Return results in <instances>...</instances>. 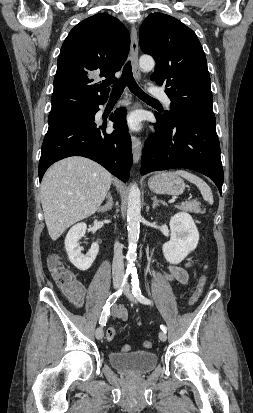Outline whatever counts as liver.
Returning <instances> with one entry per match:
<instances>
[{
	"label": "liver",
	"mask_w": 253,
	"mask_h": 413,
	"mask_svg": "<svg viewBox=\"0 0 253 413\" xmlns=\"http://www.w3.org/2000/svg\"><path fill=\"white\" fill-rule=\"evenodd\" d=\"M112 175L80 156L65 158L45 173L40 196L49 236L57 240L71 225L93 215L111 186Z\"/></svg>",
	"instance_id": "6515ba94"
}]
</instances>
